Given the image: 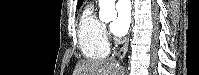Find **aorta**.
Masks as SVG:
<instances>
[{"label":"aorta","mask_w":199,"mask_h":75,"mask_svg":"<svg viewBox=\"0 0 199 75\" xmlns=\"http://www.w3.org/2000/svg\"><path fill=\"white\" fill-rule=\"evenodd\" d=\"M99 7V18L101 21L107 22L116 19L115 0H99Z\"/></svg>","instance_id":"aorta-1"}]
</instances>
